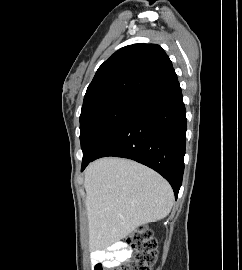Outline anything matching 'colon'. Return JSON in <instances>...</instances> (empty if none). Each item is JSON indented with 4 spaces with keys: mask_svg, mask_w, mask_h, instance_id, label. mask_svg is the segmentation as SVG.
Wrapping results in <instances>:
<instances>
[{
    "mask_svg": "<svg viewBox=\"0 0 242 270\" xmlns=\"http://www.w3.org/2000/svg\"><path fill=\"white\" fill-rule=\"evenodd\" d=\"M124 244L130 247L131 255L116 270H152L157 260V243L148 229L139 227L127 236ZM94 270H103V267L96 263Z\"/></svg>",
    "mask_w": 242,
    "mask_h": 270,
    "instance_id": "colon-1",
    "label": "colon"
}]
</instances>
